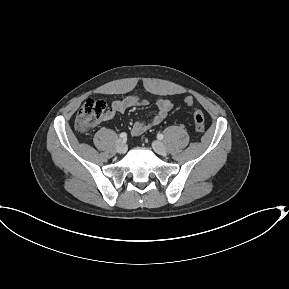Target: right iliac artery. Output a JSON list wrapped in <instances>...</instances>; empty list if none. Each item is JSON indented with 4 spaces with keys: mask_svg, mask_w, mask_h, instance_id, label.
I'll list each match as a JSON object with an SVG mask.
<instances>
[{
    "mask_svg": "<svg viewBox=\"0 0 289 289\" xmlns=\"http://www.w3.org/2000/svg\"><path fill=\"white\" fill-rule=\"evenodd\" d=\"M120 137L123 138V139H126L127 138V134L123 132V133L120 134Z\"/></svg>",
    "mask_w": 289,
    "mask_h": 289,
    "instance_id": "1",
    "label": "right iliac artery"
}]
</instances>
